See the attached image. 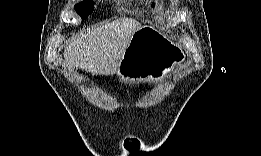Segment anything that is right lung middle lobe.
<instances>
[{
	"label": "right lung middle lobe",
	"mask_w": 261,
	"mask_h": 156,
	"mask_svg": "<svg viewBox=\"0 0 261 156\" xmlns=\"http://www.w3.org/2000/svg\"><path fill=\"white\" fill-rule=\"evenodd\" d=\"M75 10L84 20L93 12L94 2L93 0H84L75 6Z\"/></svg>",
	"instance_id": "1"
}]
</instances>
